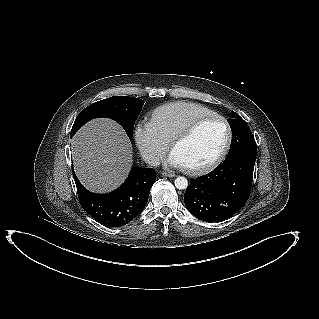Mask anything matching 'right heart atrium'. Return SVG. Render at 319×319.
Masks as SVG:
<instances>
[{
	"label": "right heart atrium",
	"mask_w": 319,
	"mask_h": 319,
	"mask_svg": "<svg viewBox=\"0 0 319 319\" xmlns=\"http://www.w3.org/2000/svg\"><path fill=\"white\" fill-rule=\"evenodd\" d=\"M133 135L142 158L150 165H157L166 153L169 143L149 121L138 122Z\"/></svg>",
	"instance_id": "1"
}]
</instances>
